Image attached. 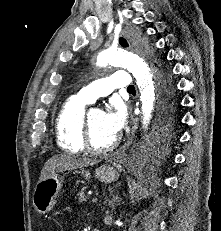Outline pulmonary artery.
<instances>
[{"label": "pulmonary artery", "mask_w": 221, "mask_h": 231, "mask_svg": "<svg viewBox=\"0 0 221 231\" xmlns=\"http://www.w3.org/2000/svg\"><path fill=\"white\" fill-rule=\"evenodd\" d=\"M132 85V80L126 71H116L83 87L77 96L86 102H94L99 97L107 96L116 88H128Z\"/></svg>", "instance_id": "pulmonary-artery-1"}]
</instances>
